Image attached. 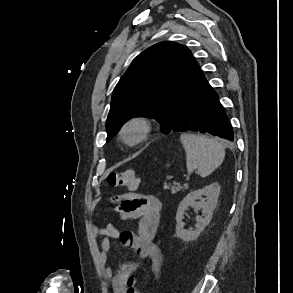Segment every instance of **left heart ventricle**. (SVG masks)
I'll list each match as a JSON object with an SVG mask.
<instances>
[{
	"mask_svg": "<svg viewBox=\"0 0 293 293\" xmlns=\"http://www.w3.org/2000/svg\"><path fill=\"white\" fill-rule=\"evenodd\" d=\"M139 129L137 127H131L126 132V138L130 141L135 140L139 136Z\"/></svg>",
	"mask_w": 293,
	"mask_h": 293,
	"instance_id": "1",
	"label": "left heart ventricle"
}]
</instances>
